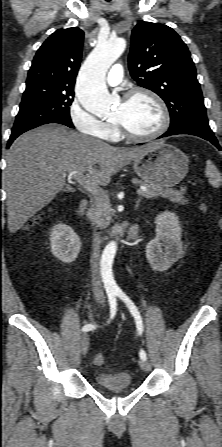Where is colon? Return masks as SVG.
<instances>
[{"mask_svg":"<svg viewBox=\"0 0 222 447\" xmlns=\"http://www.w3.org/2000/svg\"><path fill=\"white\" fill-rule=\"evenodd\" d=\"M203 209H204V207H203ZM93 362L96 365H102L104 363V356H103V354H101V353L95 354V356L93 358Z\"/></svg>","mask_w":222,"mask_h":447,"instance_id":"1","label":"colon"}]
</instances>
